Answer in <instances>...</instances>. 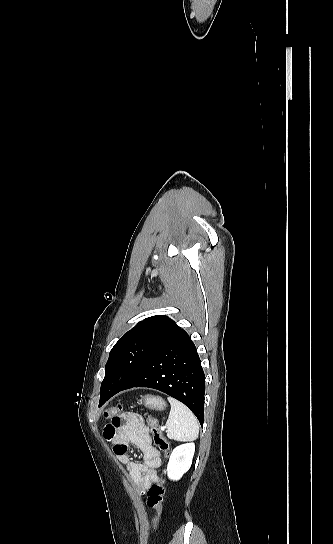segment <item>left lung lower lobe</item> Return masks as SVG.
<instances>
[{
    "label": "left lung lower lobe",
    "instance_id": "1",
    "mask_svg": "<svg viewBox=\"0 0 333 544\" xmlns=\"http://www.w3.org/2000/svg\"><path fill=\"white\" fill-rule=\"evenodd\" d=\"M149 387L184 403L203 426L205 376L196 347L181 329L162 346L141 371L124 387L100 392L99 407L122 390Z\"/></svg>",
    "mask_w": 333,
    "mask_h": 544
}]
</instances>
